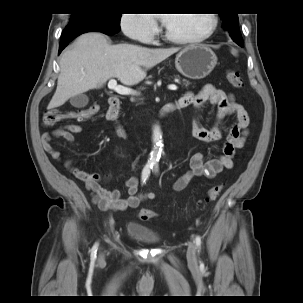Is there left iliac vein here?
Listing matches in <instances>:
<instances>
[{
  "label": "left iliac vein",
  "instance_id": "left-iliac-vein-1",
  "mask_svg": "<svg viewBox=\"0 0 303 303\" xmlns=\"http://www.w3.org/2000/svg\"><path fill=\"white\" fill-rule=\"evenodd\" d=\"M187 259L190 264H196V262H197L196 245H195L194 241H191L188 244Z\"/></svg>",
  "mask_w": 303,
  "mask_h": 303
}]
</instances>
